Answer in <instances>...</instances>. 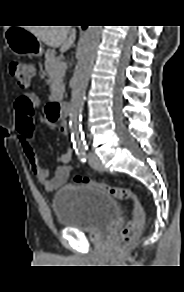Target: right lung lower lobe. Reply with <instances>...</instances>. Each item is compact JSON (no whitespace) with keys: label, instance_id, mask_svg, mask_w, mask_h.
Here are the masks:
<instances>
[{"label":"right lung lower lobe","instance_id":"1","mask_svg":"<svg viewBox=\"0 0 184 292\" xmlns=\"http://www.w3.org/2000/svg\"><path fill=\"white\" fill-rule=\"evenodd\" d=\"M83 28H86L87 26H82Z\"/></svg>","mask_w":184,"mask_h":292}]
</instances>
